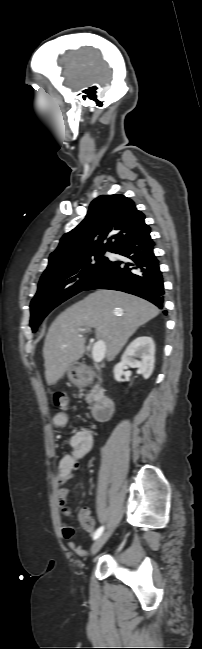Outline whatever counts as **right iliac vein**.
<instances>
[{"label":"right iliac vein","instance_id":"1","mask_svg":"<svg viewBox=\"0 0 202 649\" xmlns=\"http://www.w3.org/2000/svg\"><path fill=\"white\" fill-rule=\"evenodd\" d=\"M112 529L107 530L105 533H103L92 545L91 548V553L94 555L96 554L101 547L106 543V541L109 539L110 535L112 534Z\"/></svg>","mask_w":202,"mask_h":649}]
</instances>
